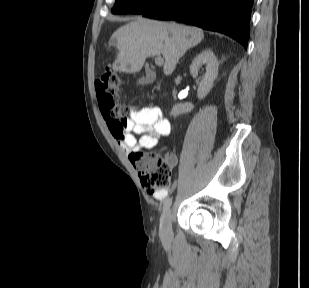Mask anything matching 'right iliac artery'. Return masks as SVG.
<instances>
[{
  "mask_svg": "<svg viewBox=\"0 0 309 288\" xmlns=\"http://www.w3.org/2000/svg\"><path fill=\"white\" fill-rule=\"evenodd\" d=\"M171 203H172V198L167 197L163 204V210L166 211L170 207Z\"/></svg>",
  "mask_w": 309,
  "mask_h": 288,
  "instance_id": "obj_1",
  "label": "right iliac artery"
}]
</instances>
